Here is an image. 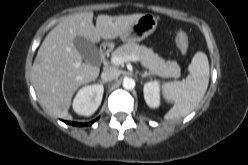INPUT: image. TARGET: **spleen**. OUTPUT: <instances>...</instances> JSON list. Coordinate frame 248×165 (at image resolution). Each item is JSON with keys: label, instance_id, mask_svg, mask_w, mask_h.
I'll return each instance as SVG.
<instances>
[{"label": "spleen", "instance_id": "1", "mask_svg": "<svg viewBox=\"0 0 248 165\" xmlns=\"http://www.w3.org/2000/svg\"><path fill=\"white\" fill-rule=\"evenodd\" d=\"M188 69L190 74L185 80L163 85L165 100L174 103L164 116L166 120H176L192 112L206 93L209 84V62L206 54L197 52Z\"/></svg>", "mask_w": 248, "mask_h": 165}]
</instances>
